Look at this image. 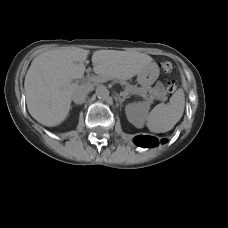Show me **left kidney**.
I'll use <instances>...</instances> for the list:
<instances>
[{"label":"left kidney","mask_w":228,"mask_h":228,"mask_svg":"<svg viewBox=\"0 0 228 228\" xmlns=\"http://www.w3.org/2000/svg\"><path fill=\"white\" fill-rule=\"evenodd\" d=\"M148 110L149 104L147 102L131 103L125 108L128 121L136 128L143 127Z\"/></svg>","instance_id":"5707ae66"}]
</instances>
